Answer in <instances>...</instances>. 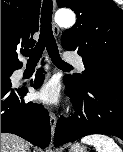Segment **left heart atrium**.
Wrapping results in <instances>:
<instances>
[{"label":"left heart atrium","mask_w":123,"mask_h":152,"mask_svg":"<svg viewBox=\"0 0 123 152\" xmlns=\"http://www.w3.org/2000/svg\"><path fill=\"white\" fill-rule=\"evenodd\" d=\"M36 97L44 104H57L60 99V92L57 83L55 81L47 82L39 89Z\"/></svg>","instance_id":"obj_1"}]
</instances>
